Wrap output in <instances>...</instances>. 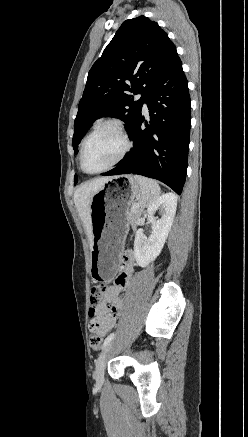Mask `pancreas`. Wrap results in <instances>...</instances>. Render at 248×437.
<instances>
[{
	"instance_id": "pancreas-1",
	"label": "pancreas",
	"mask_w": 248,
	"mask_h": 437,
	"mask_svg": "<svg viewBox=\"0 0 248 437\" xmlns=\"http://www.w3.org/2000/svg\"><path fill=\"white\" fill-rule=\"evenodd\" d=\"M140 215H141V209H139V208H135L134 206L131 207V208L127 211V219H128V222L131 224V226H132L133 228L136 227V225H137V223H138V221H139Z\"/></svg>"
}]
</instances>
